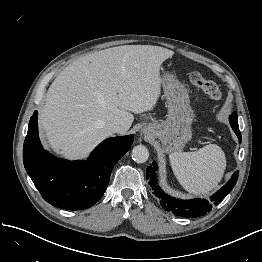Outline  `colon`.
I'll return each mask as SVG.
<instances>
[{"instance_id": "5ec220e1", "label": "colon", "mask_w": 262, "mask_h": 262, "mask_svg": "<svg viewBox=\"0 0 262 262\" xmlns=\"http://www.w3.org/2000/svg\"><path fill=\"white\" fill-rule=\"evenodd\" d=\"M191 83L201 90H203L212 101H219L222 97L220 88L213 81L207 80L200 73H192L190 75Z\"/></svg>"}]
</instances>
